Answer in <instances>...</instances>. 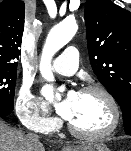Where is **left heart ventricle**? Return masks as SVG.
<instances>
[{"label":"left heart ventricle","instance_id":"1","mask_svg":"<svg viewBox=\"0 0 131 151\" xmlns=\"http://www.w3.org/2000/svg\"><path fill=\"white\" fill-rule=\"evenodd\" d=\"M112 113L109 104L99 94L77 95L70 123L84 132H100L111 123Z\"/></svg>","mask_w":131,"mask_h":151}]
</instances>
